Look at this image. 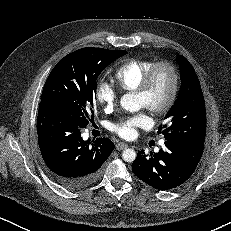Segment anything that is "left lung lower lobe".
Instances as JSON below:
<instances>
[{"instance_id": "left-lung-lower-lobe-1", "label": "left lung lower lobe", "mask_w": 231, "mask_h": 231, "mask_svg": "<svg viewBox=\"0 0 231 231\" xmlns=\"http://www.w3.org/2000/svg\"><path fill=\"white\" fill-rule=\"evenodd\" d=\"M204 144L166 140L158 153L138 151L132 163L134 174L158 190H169L183 184L195 171Z\"/></svg>"}]
</instances>
